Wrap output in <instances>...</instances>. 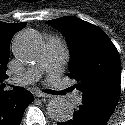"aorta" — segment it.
<instances>
[{
    "instance_id": "1",
    "label": "aorta",
    "mask_w": 125,
    "mask_h": 125,
    "mask_svg": "<svg viewBox=\"0 0 125 125\" xmlns=\"http://www.w3.org/2000/svg\"><path fill=\"white\" fill-rule=\"evenodd\" d=\"M41 46V39L32 31H22L14 39L13 48L15 55L23 62L33 61L37 58ZM47 114L58 122H66L72 118L73 107L63 97L49 101Z\"/></svg>"
}]
</instances>
